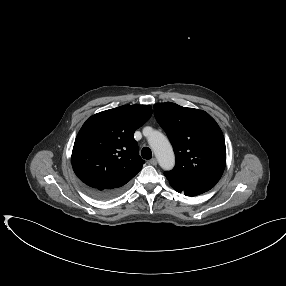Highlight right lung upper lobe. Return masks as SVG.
Segmentation results:
<instances>
[{
  "mask_svg": "<svg viewBox=\"0 0 286 286\" xmlns=\"http://www.w3.org/2000/svg\"><path fill=\"white\" fill-rule=\"evenodd\" d=\"M152 115L150 105H124L91 116L80 129L72 167L85 186L124 190L145 163L134 132Z\"/></svg>",
  "mask_w": 286,
  "mask_h": 286,
  "instance_id": "right-lung-upper-lobe-1",
  "label": "right lung upper lobe"
}]
</instances>
